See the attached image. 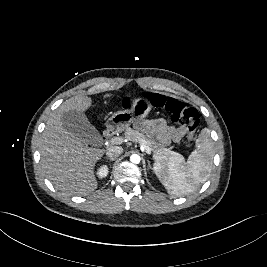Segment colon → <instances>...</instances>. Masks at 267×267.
I'll use <instances>...</instances> for the list:
<instances>
[{"label": "colon", "instance_id": "colon-1", "mask_svg": "<svg viewBox=\"0 0 267 267\" xmlns=\"http://www.w3.org/2000/svg\"><path fill=\"white\" fill-rule=\"evenodd\" d=\"M149 101L154 107L168 112L172 121L184 124L186 127V140L189 143L192 142L200 124L199 113L195 108L179 100L167 98L160 94H152L149 97ZM123 105L128 107L130 100L125 99Z\"/></svg>", "mask_w": 267, "mask_h": 267}]
</instances>
